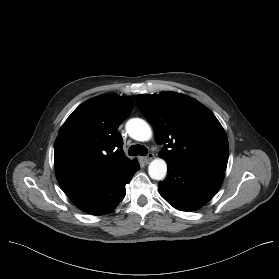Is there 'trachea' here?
<instances>
[{
  "label": "trachea",
  "mask_w": 279,
  "mask_h": 279,
  "mask_svg": "<svg viewBox=\"0 0 279 279\" xmlns=\"http://www.w3.org/2000/svg\"><path fill=\"white\" fill-rule=\"evenodd\" d=\"M147 148L144 145H131L129 148V155L130 156H146L147 155Z\"/></svg>",
  "instance_id": "obj_1"
}]
</instances>
